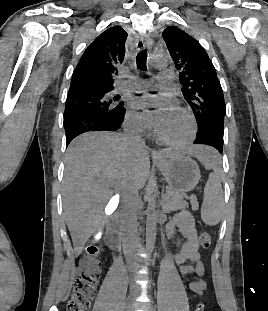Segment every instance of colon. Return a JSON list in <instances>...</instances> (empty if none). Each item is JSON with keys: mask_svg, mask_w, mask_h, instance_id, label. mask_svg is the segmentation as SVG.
Wrapping results in <instances>:
<instances>
[{"mask_svg": "<svg viewBox=\"0 0 268 311\" xmlns=\"http://www.w3.org/2000/svg\"><path fill=\"white\" fill-rule=\"evenodd\" d=\"M199 241L203 248H208L211 244V234L206 231L201 232ZM98 255L97 248L88 247L86 249L78 268L73 294L68 302L67 311H89L100 277ZM195 311H204V305L199 303Z\"/></svg>", "mask_w": 268, "mask_h": 311, "instance_id": "1", "label": "colon"}]
</instances>
